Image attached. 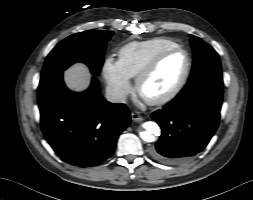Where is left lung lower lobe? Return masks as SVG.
Wrapping results in <instances>:
<instances>
[{
    "label": "left lung lower lobe",
    "instance_id": "0a47b994",
    "mask_svg": "<svg viewBox=\"0 0 253 200\" xmlns=\"http://www.w3.org/2000/svg\"><path fill=\"white\" fill-rule=\"evenodd\" d=\"M223 87L206 85L188 96L167 103L151 117L162 135L151 155L162 162L177 164L201 152L214 135L220 119Z\"/></svg>",
    "mask_w": 253,
    "mask_h": 200
}]
</instances>
